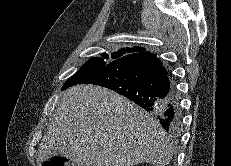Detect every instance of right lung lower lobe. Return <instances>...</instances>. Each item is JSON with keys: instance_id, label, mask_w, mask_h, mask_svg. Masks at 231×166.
Wrapping results in <instances>:
<instances>
[{"instance_id": "obj_1", "label": "right lung lower lobe", "mask_w": 231, "mask_h": 166, "mask_svg": "<svg viewBox=\"0 0 231 166\" xmlns=\"http://www.w3.org/2000/svg\"><path fill=\"white\" fill-rule=\"evenodd\" d=\"M78 84H95L114 90L145 110L155 112L169 134L180 132L179 96L155 54L145 52L121 57Z\"/></svg>"}]
</instances>
